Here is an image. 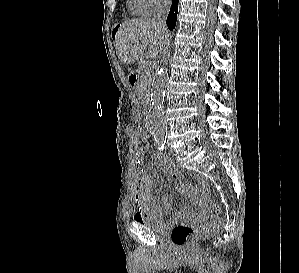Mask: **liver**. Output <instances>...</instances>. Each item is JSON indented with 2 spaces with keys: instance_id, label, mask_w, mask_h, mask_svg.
I'll return each mask as SVG.
<instances>
[{
  "instance_id": "liver-1",
  "label": "liver",
  "mask_w": 299,
  "mask_h": 273,
  "mask_svg": "<svg viewBox=\"0 0 299 273\" xmlns=\"http://www.w3.org/2000/svg\"><path fill=\"white\" fill-rule=\"evenodd\" d=\"M168 38V30L160 27L154 19H131L120 26L114 45L119 59L131 65L144 50H147V57H157Z\"/></svg>"
}]
</instances>
